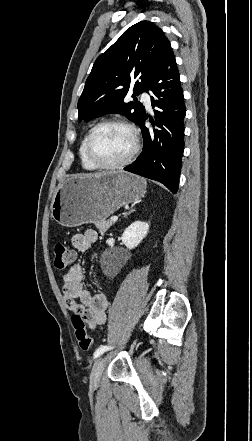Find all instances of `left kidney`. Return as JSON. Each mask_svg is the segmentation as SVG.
<instances>
[{"instance_id":"obj_1","label":"left kidney","mask_w":252,"mask_h":441,"mask_svg":"<svg viewBox=\"0 0 252 441\" xmlns=\"http://www.w3.org/2000/svg\"><path fill=\"white\" fill-rule=\"evenodd\" d=\"M149 231V224L143 221L133 222L122 234V242L129 249L137 247Z\"/></svg>"}]
</instances>
